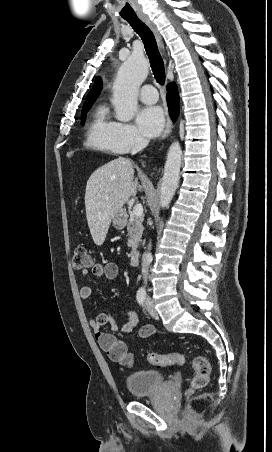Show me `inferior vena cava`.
Wrapping results in <instances>:
<instances>
[{"instance_id":"inferior-vena-cava-1","label":"inferior vena cava","mask_w":272,"mask_h":452,"mask_svg":"<svg viewBox=\"0 0 272 452\" xmlns=\"http://www.w3.org/2000/svg\"><path fill=\"white\" fill-rule=\"evenodd\" d=\"M149 143V140L142 138V137H138L136 139L135 145L132 148L131 154L134 155L136 153H138L139 151H141L143 148H145ZM151 259V254L150 253H144L142 256V275H143V279L144 282L147 283V277H148V268H149V262Z\"/></svg>"}]
</instances>
